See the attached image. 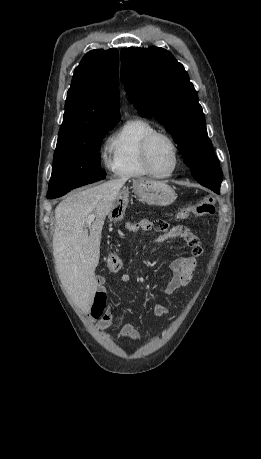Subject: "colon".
<instances>
[{"label":"colon","mask_w":261,"mask_h":459,"mask_svg":"<svg viewBox=\"0 0 261 459\" xmlns=\"http://www.w3.org/2000/svg\"><path fill=\"white\" fill-rule=\"evenodd\" d=\"M215 211V199L212 195L204 196L200 201L196 204L180 208L177 211V217L180 219H191L197 218L204 215L213 214ZM152 228L158 232H165L168 229L167 222L157 219L154 220L151 224ZM122 260L121 258L115 254L110 253L105 258V267L110 273H117L122 268ZM105 308V300L102 296H96L91 307V314L93 317L97 318L102 315Z\"/></svg>","instance_id":"1"}]
</instances>
